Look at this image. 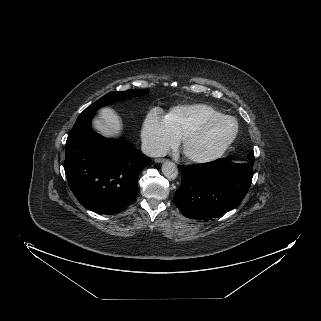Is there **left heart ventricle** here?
Returning a JSON list of instances; mask_svg holds the SVG:
<instances>
[{"mask_svg": "<svg viewBox=\"0 0 321 321\" xmlns=\"http://www.w3.org/2000/svg\"><path fill=\"white\" fill-rule=\"evenodd\" d=\"M233 128L234 124L230 120L214 123L189 141L187 148L195 154H208L214 151L232 133Z\"/></svg>", "mask_w": 321, "mask_h": 321, "instance_id": "left-heart-ventricle-1", "label": "left heart ventricle"}]
</instances>
